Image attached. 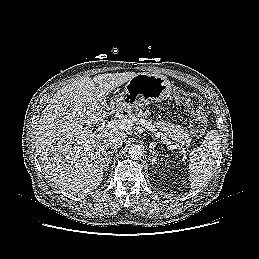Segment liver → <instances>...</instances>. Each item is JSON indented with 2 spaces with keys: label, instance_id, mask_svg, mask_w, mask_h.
Returning a JSON list of instances; mask_svg holds the SVG:
<instances>
[{
  "label": "liver",
  "instance_id": "obj_1",
  "mask_svg": "<svg viewBox=\"0 0 259 259\" xmlns=\"http://www.w3.org/2000/svg\"><path fill=\"white\" fill-rule=\"evenodd\" d=\"M135 72L107 73L83 77L60 90L43 110L35 132V150L41 166L57 187L76 194L96 189L103 179L106 140L123 139L122 130L106 129L100 133L88 127L113 110L107 95L128 82Z\"/></svg>",
  "mask_w": 259,
  "mask_h": 259
}]
</instances>
